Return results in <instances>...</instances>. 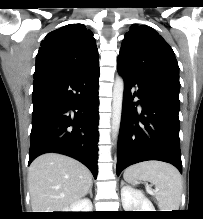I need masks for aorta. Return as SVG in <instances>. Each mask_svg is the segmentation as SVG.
Masks as SVG:
<instances>
[{
    "label": "aorta",
    "instance_id": "obj_1",
    "mask_svg": "<svg viewBox=\"0 0 203 219\" xmlns=\"http://www.w3.org/2000/svg\"><path fill=\"white\" fill-rule=\"evenodd\" d=\"M124 81L123 78L116 77L113 87V103H112V137L115 139L118 135L123 103Z\"/></svg>",
    "mask_w": 203,
    "mask_h": 219
}]
</instances>
